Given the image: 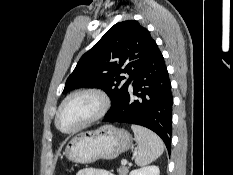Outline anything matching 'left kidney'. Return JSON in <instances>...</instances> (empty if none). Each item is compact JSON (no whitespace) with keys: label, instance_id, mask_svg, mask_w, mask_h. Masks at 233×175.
I'll return each instance as SVG.
<instances>
[{"label":"left kidney","instance_id":"1","mask_svg":"<svg viewBox=\"0 0 233 175\" xmlns=\"http://www.w3.org/2000/svg\"><path fill=\"white\" fill-rule=\"evenodd\" d=\"M159 167L152 165L132 170L129 175H159Z\"/></svg>","mask_w":233,"mask_h":175}]
</instances>
